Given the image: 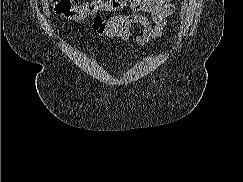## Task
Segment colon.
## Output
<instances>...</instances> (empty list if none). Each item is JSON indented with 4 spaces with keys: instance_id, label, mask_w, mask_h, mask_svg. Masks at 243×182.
Listing matches in <instances>:
<instances>
[{
    "instance_id": "5ec220e1",
    "label": "colon",
    "mask_w": 243,
    "mask_h": 182,
    "mask_svg": "<svg viewBox=\"0 0 243 182\" xmlns=\"http://www.w3.org/2000/svg\"><path fill=\"white\" fill-rule=\"evenodd\" d=\"M57 15L79 21L100 12H115L124 9L132 0H90L75 4L73 0H52Z\"/></svg>"
}]
</instances>
